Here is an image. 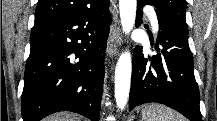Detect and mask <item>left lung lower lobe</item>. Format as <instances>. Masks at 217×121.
<instances>
[{"instance_id": "0a47b994", "label": "left lung lower lobe", "mask_w": 217, "mask_h": 121, "mask_svg": "<svg viewBox=\"0 0 217 121\" xmlns=\"http://www.w3.org/2000/svg\"><path fill=\"white\" fill-rule=\"evenodd\" d=\"M137 4L136 26H140L141 8L154 5L149 0H138ZM156 13L159 23L155 44L157 54L145 57L142 47H135L129 109L131 111L135 106L156 102L171 107L191 121H202L188 32L158 8Z\"/></svg>"}]
</instances>
